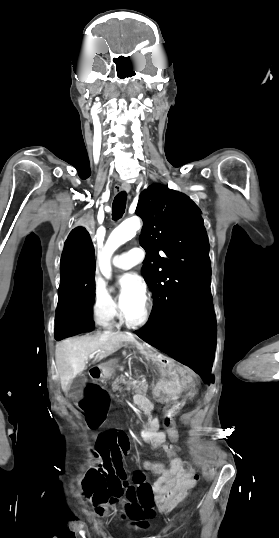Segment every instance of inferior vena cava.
<instances>
[{
    "mask_svg": "<svg viewBox=\"0 0 279 538\" xmlns=\"http://www.w3.org/2000/svg\"><path fill=\"white\" fill-rule=\"evenodd\" d=\"M113 316H115V313L114 312H109L108 315L106 316L105 320L109 321V319L113 318ZM104 324H105L106 327L109 326L108 329H110L112 327L111 324H108L107 322L106 323L104 322Z\"/></svg>",
    "mask_w": 279,
    "mask_h": 538,
    "instance_id": "obj_1",
    "label": "inferior vena cava"
}]
</instances>
